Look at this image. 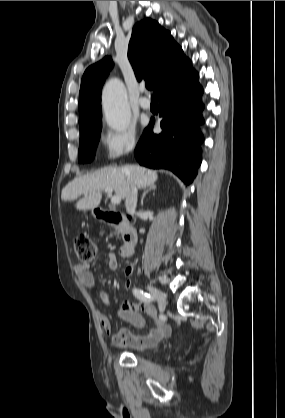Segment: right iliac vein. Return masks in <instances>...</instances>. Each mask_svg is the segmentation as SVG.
<instances>
[{
    "mask_svg": "<svg viewBox=\"0 0 285 418\" xmlns=\"http://www.w3.org/2000/svg\"><path fill=\"white\" fill-rule=\"evenodd\" d=\"M146 289L149 290L150 293L155 297V299L158 302L159 311L163 313L167 305L165 294L162 291H160L158 288L150 284L146 285Z\"/></svg>",
    "mask_w": 285,
    "mask_h": 418,
    "instance_id": "1",
    "label": "right iliac vein"
}]
</instances>
